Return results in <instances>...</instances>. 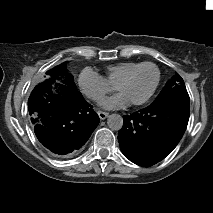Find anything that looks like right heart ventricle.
<instances>
[{"label": "right heart ventricle", "instance_id": "e07e8e85", "mask_svg": "<svg viewBox=\"0 0 213 213\" xmlns=\"http://www.w3.org/2000/svg\"><path fill=\"white\" fill-rule=\"evenodd\" d=\"M139 64L141 63L124 61L109 65L105 68L103 78L109 85L114 86L122 76Z\"/></svg>", "mask_w": 213, "mask_h": 213}]
</instances>
